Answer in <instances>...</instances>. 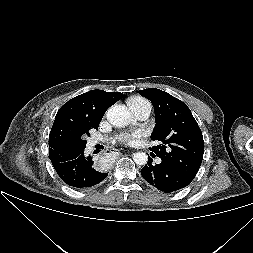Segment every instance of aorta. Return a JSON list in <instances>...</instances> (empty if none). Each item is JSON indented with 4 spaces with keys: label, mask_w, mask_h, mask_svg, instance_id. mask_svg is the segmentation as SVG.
<instances>
[{
    "label": "aorta",
    "mask_w": 253,
    "mask_h": 253,
    "mask_svg": "<svg viewBox=\"0 0 253 253\" xmlns=\"http://www.w3.org/2000/svg\"><path fill=\"white\" fill-rule=\"evenodd\" d=\"M107 120L115 127H125L130 123L131 116L124 105H114L110 107L106 114ZM133 160L137 165H145L148 161V156L144 152H136Z\"/></svg>",
    "instance_id": "762f6f07"
}]
</instances>
